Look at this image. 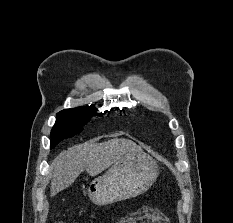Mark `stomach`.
<instances>
[{"mask_svg":"<svg viewBox=\"0 0 233 223\" xmlns=\"http://www.w3.org/2000/svg\"><path fill=\"white\" fill-rule=\"evenodd\" d=\"M159 175L156 159L141 147L123 153L99 177L90 181L88 197L96 205H109L145 193Z\"/></svg>","mask_w":233,"mask_h":223,"instance_id":"stomach-1","label":"stomach"}]
</instances>
